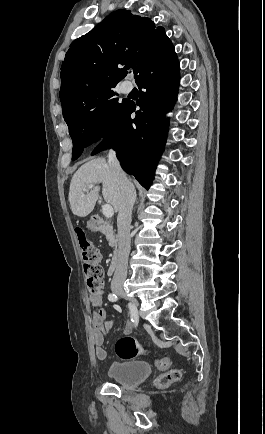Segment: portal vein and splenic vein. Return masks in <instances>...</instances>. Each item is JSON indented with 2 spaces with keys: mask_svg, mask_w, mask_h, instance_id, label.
<instances>
[{
  "mask_svg": "<svg viewBox=\"0 0 265 434\" xmlns=\"http://www.w3.org/2000/svg\"><path fill=\"white\" fill-rule=\"evenodd\" d=\"M88 190H91V188H94V186H87ZM83 192H87L86 188H84ZM102 212L106 218H112L114 216V210L110 204H105V206H102Z\"/></svg>",
  "mask_w": 265,
  "mask_h": 434,
  "instance_id": "portal-vein-and-splenic-vein-1",
  "label": "portal vein and splenic vein"
}]
</instances>
